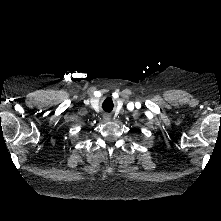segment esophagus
Masks as SVG:
<instances>
[{
  "label": "esophagus",
  "instance_id": "obj_1",
  "mask_svg": "<svg viewBox=\"0 0 221 221\" xmlns=\"http://www.w3.org/2000/svg\"><path fill=\"white\" fill-rule=\"evenodd\" d=\"M104 118H105V120H107V121L110 120L109 115H105Z\"/></svg>",
  "mask_w": 221,
  "mask_h": 221
}]
</instances>
